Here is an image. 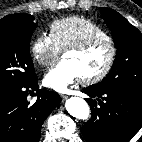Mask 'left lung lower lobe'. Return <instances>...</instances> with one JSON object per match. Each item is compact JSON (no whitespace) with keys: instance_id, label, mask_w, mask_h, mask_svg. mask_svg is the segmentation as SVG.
Here are the masks:
<instances>
[{"instance_id":"0a47b994","label":"left lung lower lobe","mask_w":142,"mask_h":142,"mask_svg":"<svg viewBox=\"0 0 142 142\" xmlns=\"http://www.w3.org/2000/svg\"><path fill=\"white\" fill-rule=\"evenodd\" d=\"M84 93L90 97L86 100L92 112L91 119L82 127L87 142H128L141 128V89H100L92 85Z\"/></svg>"}]
</instances>
